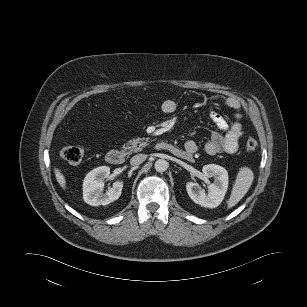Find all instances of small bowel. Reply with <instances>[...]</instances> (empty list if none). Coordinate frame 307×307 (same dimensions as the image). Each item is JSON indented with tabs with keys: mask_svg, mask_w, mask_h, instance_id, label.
Wrapping results in <instances>:
<instances>
[{
	"mask_svg": "<svg viewBox=\"0 0 307 307\" xmlns=\"http://www.w3.org/2000/svg\"><path fill=\"white\" fill-rule=\"evenodd\" d=\"M224 105L233 111V121L228 123L227 119L216 110L214 105L210 108V118L216 125L218 131L214 132L210 139L204 145V151L209 155L218 153L233 154L237 151L239 140L242 137V113L240 102L228 97L224 101ZM176 102L168 99L163 101L161 109L164 113L170 114L176 110ZM198 151V144L193 140H188L183 148L175 147V154L190 158Z\"/></svg>",
	"mask_w": 307,
	"mask_h": 307,
	"instance_id": "obj_1",
	"label": "small bowel"
}]
</instances>
